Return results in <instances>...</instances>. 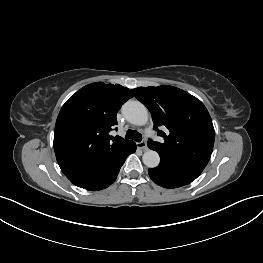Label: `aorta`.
Returning a JSON list of instances; mask_svg holds the SVG:
<instances>
[{"instance_id":"obj_1","label":"aorta","mask_w":263,"mask_h":263,"mask_svg":"<svg viewBox=\"0 0 263 263\" xmlns=\"http://www.w3.org/2000/svg\"><path fill=\"white\" fill-rule=\"evenodd\" d=\"M124 117L132 124L143 126L148 121V110L139 101H128L122 106ZM143 163L149 167H157L160 163L159 154L154 150H148L143 154Z\"/></svg>"}]
</instances>
